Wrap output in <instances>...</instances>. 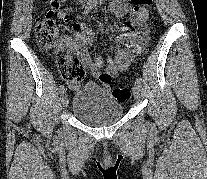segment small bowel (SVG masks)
<instances>
[{
	"instance_id": "obj_1",
	"label": "small bowel",
	"mask_w": 207,
	"mask_h": 179,
	"mask_svg": "<svg viewBox=\"0 0 207 179\" xmlns=\"http://www.w3.org/2000/svg\"><path fill=\"white\" fill-rule=\"evenodd\" d=\"M109 9L112 14L118 18H121L129 13L128 0H112ZM56 16L59 19L66 20L69 16V11L67 8H65L64 10L57 12ZM146 18L147 12H143L134 16L136 21H144ZM74 30L76 32L74 39L72 41L63 39L59 43L58 48L60 50H67L68 48L79 50V54L84 66H86L91 71L94 77L100 78V80L104 74L114 77L117 76L119 72L126 70L133 60L134 55L142 52L145 45L144 39H142L140 42L136 41V34L129 32V28L127 26H121L120 31L124 32V34L116 38L115 55L114 57L107 58L106 72L102 73L101 70L105 63L103 57L100 55L91 56L89 52V48L93 42L92 31L88 28H85L81 23H76L74 25Z\"/></svg>"
}]
</instances>
